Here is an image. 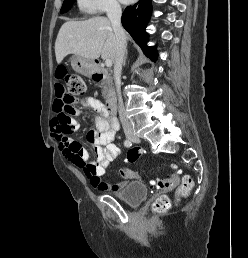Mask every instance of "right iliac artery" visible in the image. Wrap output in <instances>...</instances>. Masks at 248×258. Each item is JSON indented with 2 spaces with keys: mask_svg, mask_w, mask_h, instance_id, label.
Here are the masks:
<instances>
[{
  "mask_svg": "<svg viewBox=\"0 0 248 258\" xmlns=\"http://www.w3.org/2000/svg\"><path fill=\"white\" fill-rule=\"evenodd\" d=\"M124 145H125L126 147H130V146L132 145V142H131L130 140H125V141H124Z\"/></svg>",
  "mask_w": 248,
  "mask_h": 258,
  "instance_id": "right-iliac-artery-1",
  "label": "right iliac artery"
}]
</instances>
